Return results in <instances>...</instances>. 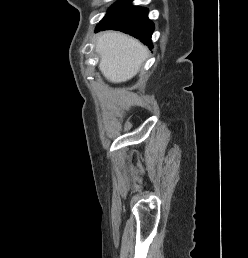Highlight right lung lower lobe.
Returning a JSON list of instances; mask_svg holds the SVG:
<instances>
[{"instance_id":"obj_1","label":"right lung lower lobe","mask_w":248,"mask_h":258,"mask_svg":"<svg viewBox=\"0 0 248 258\" xmlns=\"http://www.w3.org/2000/svg\"><path fill=\"white\" fill-rule=\"evenodd\" d=\"M132 0L120 1L97 24L95 31L119 30L140 39L144 44L151 46V35L154 24L148 18V9L131 5Z\"/></svg>"}]
</instances>
